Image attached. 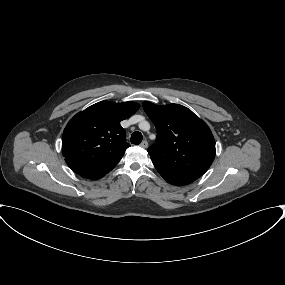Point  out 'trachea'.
I'll return each instance as SVG.
<instances>
[{
  "label": "trachea",
  "instance_id": "3493384b",
  "mask_svg": "<svg viewBox=\"0 0 285 285\" xmlns=\"http://www.w3.org/2000/svg\"><path fill=\"white\" fill-rule=\"evenodd\" d=\"M142 134L138 131H135L132 135H131V143L132 144H135V145H138L141 143L142 141Z\"/></svg>",
  "mask_w": 285,
  "mask_h": 285
}]
</instances>
